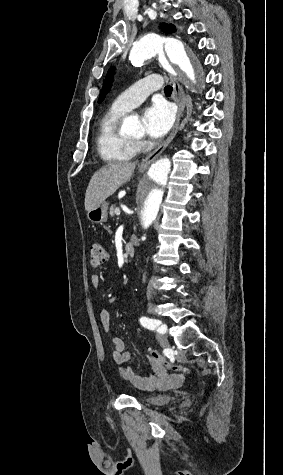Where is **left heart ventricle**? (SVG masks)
<instances>
[{
	"instance_id": "obj_1",
	"label": "left heart ventricle",
	"mask_w": 283,
	"mask_h": 475,
	"mask_svg": "<svg viewBox=\"0 0 283 475\" xmlns=\"http://www.w3.org/2000/svg\"><path fill=\"white\" fill-rule=\"evenodd\" d=\"M142 134H143V132H140L137 136H135V137H130V138H138V137H140Z\"/></svg>"
}]
</instances>
